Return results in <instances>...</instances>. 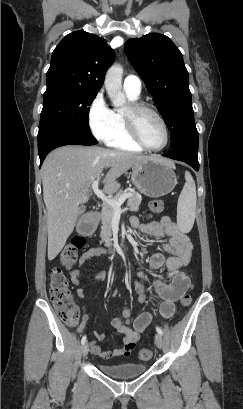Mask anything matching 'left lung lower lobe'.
I'll return each mask as SVG.
<instances>
[{
    "instance_id": "obj_1",
    "label": "left lung lower lobe",
    "mask_w": 243,
    "mask_h": 409,
    "mask_svg": "<svg viewBox=\"0 0 243 409\" xmlns=\"http://www.w3.org/2000/svg\"><path fill=\"white\" fill-rule=\"evenodd\" d=\"M172 150L164 153L163 156L186 162L196 171L199 170L198 163V131L195 121L188 122L179 135V139Z\"/></svg>"
}]
</instances>
